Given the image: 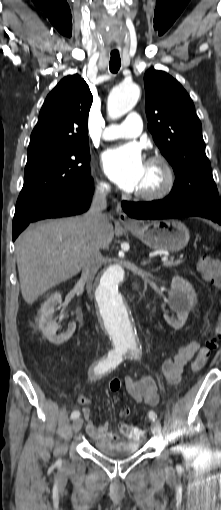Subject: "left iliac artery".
<instances>
[{"label":"left iliac artery","instance_id":"obj_1","mask_svg":"<svg viewBox=\"0 0 221 510\" xmlns=\"http://www.w3.org/2000/svg\"><path fill=\"white\" fill-rule=\"evenodd\" d=\"M139 351L137 349H134L132 352V355L135 356V358H138ZM148 416L151 420H155L157 418V414L154 411H149Z\"/></svg>","mask_w":221,"mask_h":510}]
</instances>
